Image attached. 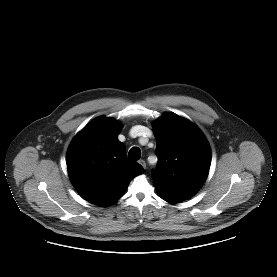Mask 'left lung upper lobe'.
Wrapping results in <instances>:
<instances>
[{
	"label": "left lung upper lobe",
	"instance_id": "5c2ea615",
	"mask_svg": "<svg viewBox=\"0 0 277 277\" xmlns=\"http://www.w3.org/2000/svg\"><path fill=\"white\" fill-rule=\"evenodd\" d=\"M153 128L159 157L152 174L156 189L184 198L195 195L211 163L205 136L192 122L174 113L164 114Z\"/></svg>",
	"mask_w": 277,
	"mask_h": 277
}]
</instances>
